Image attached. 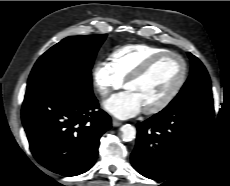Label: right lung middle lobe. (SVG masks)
Wrapping results in <instances>:
<instances>
[{
  "label": "right lung middle lobe",
  "instance_id": "1",
  "mask_svg": "<svg viewBox=\"0 0 230 186\" xmlns=\"http://www.w3.org/2000/svg\"><path fill=\"white\" fill-rule=\"evenodd\" d=\"M104 35L70 36L46 51L35 63L27 92L46 86H67L92 92L91 68Z\"/></svg>",
  "mask_w": 230,
  "mask_h": 186
}]
</instances>
